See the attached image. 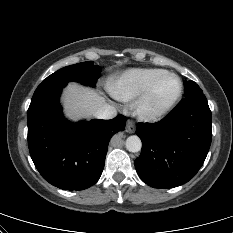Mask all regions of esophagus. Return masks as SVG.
<instances>
[{"mask_svg": "<svg viewBox=\"0 0 233 233\" xmlns=\"http://www.w3.org/2000/svg\"><path fill=\"white\" fill-rule=\"evenodd\" d=\"M126 131L128 133H134L135 132V124H134V122L132 120H127Z\"/></svg>", "mask_w": 233, "mask_h": 233, "instance_id": "34e87169", "label": "esophagus"}]
</instances>
